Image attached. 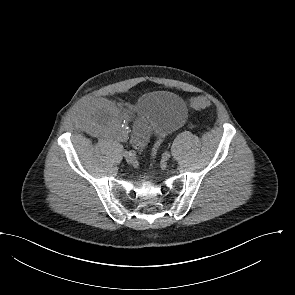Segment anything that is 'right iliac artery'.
Here are the masks:
<instances>
[{
  "label": "right iliac artery",
  "mask_w": 295,
  "mask_h": 295,
  "mask_svg": "<svg viewBox=\"0 0 295 295\" xmlns=\"http://www.w3.org/2000/svg\"><path fill=\"white\" fill-rule=\"evenodd\" d=\"M125 154H128L129 156H134L135 155V151L134 150L125 151Z\"/></svg>",
  "instance_id": "1"
}]
</instances>
